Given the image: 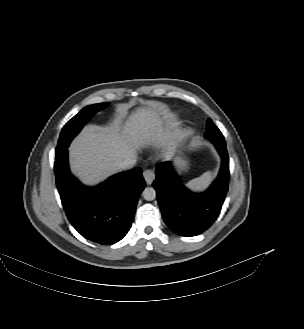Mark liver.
<instances>
[{
    "label": "liver",
    "instance_id": "1",
    "mask_svg": "<svg viewBox=\"0 0 304 329\" xmlns=\"http://www.w3.org/2000/svg\"><path fill=\"white\" fill-rule=\"evenodd\" d=\"M120 116L106 126L88 125L72 142L69 153L71 169L85 184H96L117 172L120 161L136 157L140 147L150 143L164 144L175 125L166 105L150 102L148 108H139L123 125ZM168 119L164 126L161 116Z\"/></svg>",
    "mask_w": 304,
    "mask_h": 329
}]
</instances>
